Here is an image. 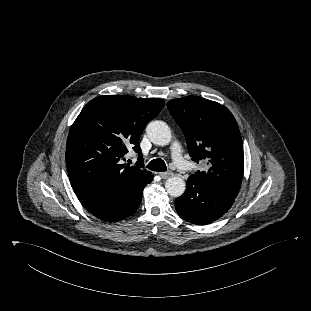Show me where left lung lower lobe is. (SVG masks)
Masks as SVG:
<instances>
[{"mask_svg": "<svg viewBox=\"0 0 311 311\" xmlns=\"http://www.w3.org/2000/svg\"><path fill=\"white\" fill-rule=\"evenodd\" d=\"M235 198L210 186L195 175L187 179L184 194L175 200L178 215L193 224H209L224 215Z\"/></svg>", "mask_w": 311, "mask_h": 311, "instance_id": "obj_1", "label": "left lung lower lobe"}]
</instances>
